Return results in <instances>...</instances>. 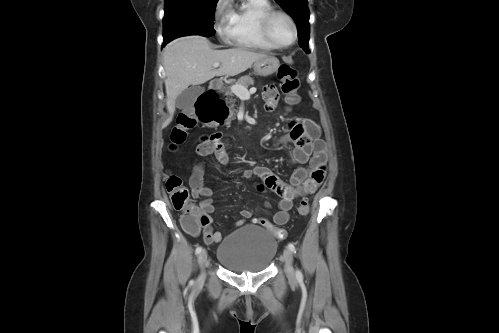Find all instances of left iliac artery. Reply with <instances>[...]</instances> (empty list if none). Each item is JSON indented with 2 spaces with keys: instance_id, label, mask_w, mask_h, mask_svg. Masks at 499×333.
Wrapping results in <instances>:
<instances>
[{
  "instance_id": "left-iliac-artery-1",
  "label": "left iliac artery",
  "mask_w": 499,
  "mask_h": 333,
  "mask_svg": "<svg viewBox=\"0 0 499 333\" xmlns=\"http://www.w3.org/2000/svg\"><path fill=\"white\" fill-rule=\"evenodd\" d=\"M288 249H289L291 252L296 253L295 246H294L292 243H289V244H288ZM296 278H297L298 280H302V279H303V275H302V273H301V271H300V270H297V271H296Z\"/></svg>"
}]
</instances>
